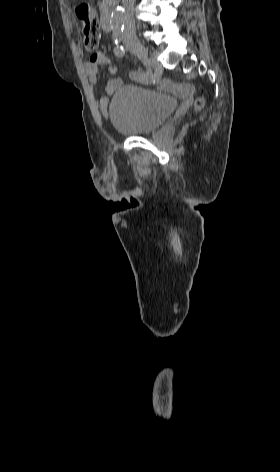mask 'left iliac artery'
<instances>
[{"label":"left iliac artery","instance_id":"1","mask_svg":"<svg viewBox=\"0 0 280 472\" xmlns=\"http://www.w3.org/2000/svg\"><path fill=\"white\" fill-rule=\"evenodd\" d=\"M113 40L116 44L121 41L123 27L114 26L113 28Z\"/></svg>","mask_w":280,"mask_h":472}]
</instances>
